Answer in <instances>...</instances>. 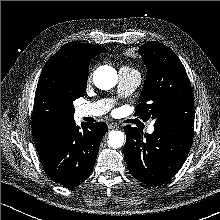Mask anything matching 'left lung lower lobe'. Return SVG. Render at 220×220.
<instances>
[{
    "mask_svg": "<svg viewBox=\"0 0 220 220\" xmlns=\"http://www.w3.org/2000/svg\"><path fill=\"white\" fill-rule=\"evenodd\" d=\"M152 134L125 126L124 156L129 172L139 181L157 185L171 179L191 148L194 127L169 121L154 125Z\"/></svg>",
    "mask_w": 220,
    "mask_h": 220,
    "instance_id": "obj_1",
    "label": "left lung lower lobe"
}]
</instances>
